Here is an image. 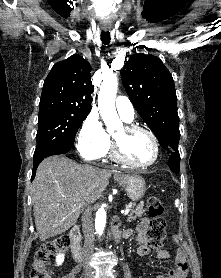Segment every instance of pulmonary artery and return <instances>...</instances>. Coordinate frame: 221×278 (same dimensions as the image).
Wrapping results in <instances>:
<instances>
[{
  "instance_id": "pulmonary-artery-1",
  "label": "pulmonary artery",
  "mask_w": 221,
  "mask_h": 278,
  "mask_svg": "<svg viewBox=\"0 0 221 278\" xmlns=\"http://www.w3.org/2000/svg\"><path fill=\"white\" fill-rule=\"evenodd\" d=\"M117 112L126 122H131L135 118V110L131 101L125 96H119L115 101Z\"/></svg>"
}]
</instances>
